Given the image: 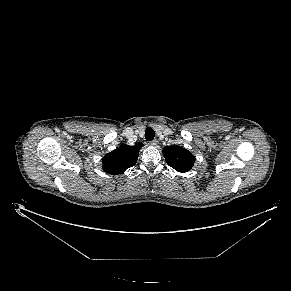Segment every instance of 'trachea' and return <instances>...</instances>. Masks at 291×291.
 <instances>
[{"instance_id": "1", "label": "trachea", "mask_w": 291, "mask_h": 291, "mask_svg": "<svg viewBox=\"0 0 291 291\" xmlns=\"http://www.w3.org/2000/svg\"><path fill=\"white\" fill-rule=\"evenodd\" d=\"M155 132L151 127H148L145 131V139L147 141H152L154 139Z\"/></svg>"}]
</instances>
